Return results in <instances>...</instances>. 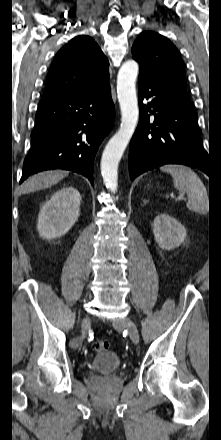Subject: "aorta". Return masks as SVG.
<instances>
[{"instance_id": "762f6f07", "label": "aorta", "mask_w": 221, "mask_h": 440, "mask_svg": "<svg viewBox=\"0 0 221 440\" xmlns=\"http://www.w3.org/2000/svg\"><path fill=\"white\" fill-rule=\"evenodd\" d=\"M138 63L128 60L121 66L117 76V96L121 110V124L118 131L107 143L101 159V174L106 187L116 192L118 187V164L134 134L139 108L136 95Z\"/></svg>"}]
</instances>
